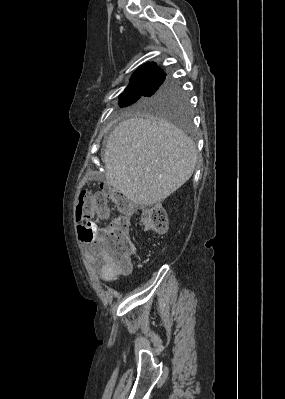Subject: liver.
I'll use <instances>...</instances> for the list:
<instances>
[{
  "label": "liver",
  "mask_w": 285,
  "mask_h": 399,
  "mask_svg": "<svg viewBox=\"0 0 285 399\" xmlns=\"http://www.w3.org/2000/svg\"><path fill=\"white\" fill-rule=\"evenodd\" d=\"M107 182L138 205L163 201L192 176L197 150L173 124L130 118L110 134L102 156Z\"/></svg>",
  "instance_id": "obj_1"
}]
</instances>
